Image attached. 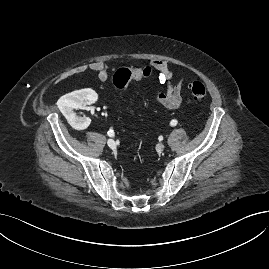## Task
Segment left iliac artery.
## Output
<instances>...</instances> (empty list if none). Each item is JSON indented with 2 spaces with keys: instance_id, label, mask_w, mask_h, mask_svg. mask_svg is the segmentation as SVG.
Listing matches in <instances>:
<instances>
[{
  "instance_id": "1",
  "label": "left iliac artery",
  "mask_w": 269,
  "mask_h": 269,
  "mask_svg": "<svg viewBox=\"0 0 269 269\" xmlns=\"http://www.w3.org/2000/svg\"><path fill=\"white\" fill-rule=\"evenodd\" d=\"M177 123H178L177 120L173 119V120H171L170 125L171 126H176Z\"/></svg>"
}]
</instances>
